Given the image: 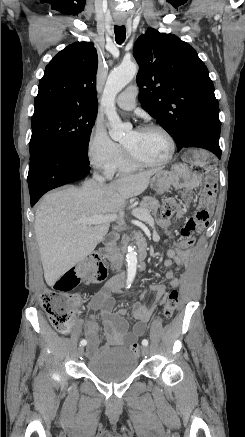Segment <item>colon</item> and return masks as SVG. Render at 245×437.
I'll return each instance as SVG.
<instances>
[{"label": "colon", "mask_w": 245, "mask_h": 437, "mask_svg": "<svg viewBox=\"0 0 245 437\" xmlns=\"http://www.w3.org/2000/svg\"><path fill=\"white\" fill-rule=\"evenodd\" d=\"M176 209V201L167 198L163 206V216L170 217ZM107 277L106 266L95 254L87 257L74 268L66 271L54 284L51 290L42 295V306L52 325L60 332H68L74 316L76 297L74 290L80 285H92L103 282ZM179 301L178 292L173 290L168 296L163 309V318L169 320L174 315ZM130 350L140 355L141 347L134 342Z\"/></svg>", "instance_id": "obj_1"}]
</instances>
